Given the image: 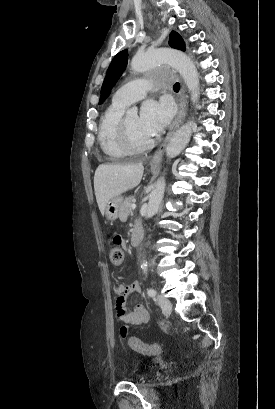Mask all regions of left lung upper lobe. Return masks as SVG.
<instances>
[{
	"label": "left lung upper lobe",
	"mask_w": 275,
	"mask_h": 409,
	"mask_svg": "<svg viewBox=\"0 0 275 409\" xmlns=\"http://www.w3.org/2000/svg\"><path fill=\"white\" fill-rule=\"evenodd\" d=\"M169 45L175 49L185 51V43L182 37L175 31L170 33ZM128 61V52L123 50L119 52L112 60L104 79L99 104H102L109 96L111 89L124 72Z\"/></svg>",
	"instance_id": "obj_1"
}]
</instances>
